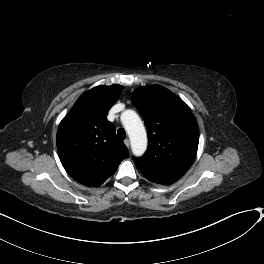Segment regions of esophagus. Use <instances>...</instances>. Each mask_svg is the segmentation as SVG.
Returning a JSON list of instances; mask_svg holds the SVG:
<instances>
[{
  "mask_svg": "<svg viewBox=\"0 0 264 264\" xmlns=\"http://www.w3.org/2000/svg\"><path fill=\"white\" fill-rule=\"evenodd\" d=\"M124 144L129 148L130 147V141L129 139L124 140Z\"/></svg>",
  "mask_w": 264,
  "mask_h": 264,
  "instance_id": "esophagus-1",
  "label": "esophagus"
}]
</instances>
